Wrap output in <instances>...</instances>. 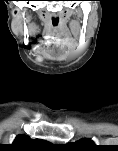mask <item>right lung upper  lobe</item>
Wrapping results in <instances>:
<instances>
[{
	"mask_svg": "<svg viewBox=\"0 0 118 151\" xmlns=\"http://www.w3.org/2000/svg\"><path fill=\"white\" fill-rule=\"evenodd\" d=\"M49 145L50 144L44 140H40V139L33 140L27 135H18L14 140L13 144H11V147L14 150H18V151H28L37 148H45Z\"/></svg>",
	"mask_w": 118,
	"mask_h": 151,
	"instance_id": "obj_1",
	"label": "right lung upper lobe"
}]
</instances>
